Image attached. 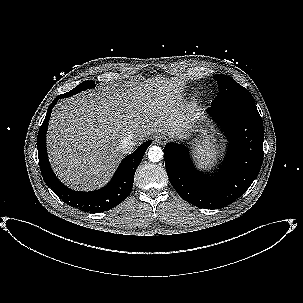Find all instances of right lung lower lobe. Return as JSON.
<instances>
[{
	"mask_svg": "<svg viewBox=\"0 0 303 303\" xmlns=\"http://www.w3.org/2000/svg\"><path fill=\"white\" fill-rule=\"evenodd\" d=\"M64 94L57 96L49 106L46 117L39 129L37 136V148L39 166L45 183L65 203L85 212L97 213L114 208L124 201L133 187L134 175L141 163L146 149L151 141L144 142L132 154L125 157L119 165L112 180L102 189L92 192H78L63 185L53 173L48 161L46 149V132L53 107Z\"/></svg>",
	"mask_w": 303,
	"mask_h": 303,
	"instance_id": "98d812e1",
	"label": "right lung lower lobe"
}]
</instances>
